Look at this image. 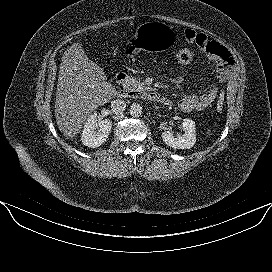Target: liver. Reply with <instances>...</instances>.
Listing matches in <instances>:
<instances>
[{
    "label": "liver",
    "mask_w": 272,
    "mask_h": 272,
    "mask_svg": "<svg viewBox=\"0 0 272 272\" xmlns=\"http://www.w3.org/2000/svg\"><path fill=\"white\" fill-rule=\"evenodd\" d=\"M116 92L104 70L89 60L81 45L72 44L62 57L55 100V118L59 130L74 139L89 116L108 103Z\"/></svg>",
    "instance_id": "liver-1"
}]
</instances>
